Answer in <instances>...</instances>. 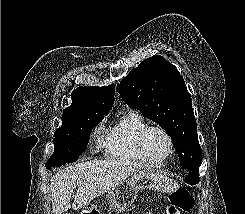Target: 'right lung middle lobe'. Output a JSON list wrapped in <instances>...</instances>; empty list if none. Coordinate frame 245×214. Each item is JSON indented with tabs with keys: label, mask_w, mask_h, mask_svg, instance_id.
I'll return each instance as SVG.
<instances>
[{
	"label": "right lung middle lobe",
	"mask_w": 245,
	"mask_h": 214,
	"mask_svg": "<svg viewBox=\"0 0 245 214\" xmlns=\"http://www.w3.org/2000/svg\"><path fill=\"white\" fill-rule=\"evenodd\" d=\"M107 113H92L76 117L65 130L54 133V153L46 162L45 167L65 165L75 162L88 145V137Z\"/></svg>",
	"instance_id": "right-lung-middle-lobe-1"
}]
</instances>
